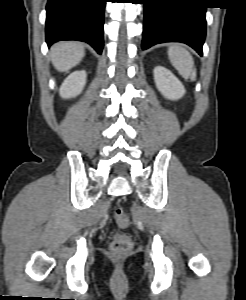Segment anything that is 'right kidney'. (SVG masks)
<instances>
[{
	"mask_svg": "<svg viewBox=\"0 0 246 300\" xmlns=\"http://www.w3.org/2000/svg\"><path fill=\"white\" fill-rule=\"evenodd\" d=\"M86 84V72L75 71L71 73L62 83L59 94L62 98L68 99L79 95Z\"/></svg>",
	"mask_w": 246,
	"mask_h": 300,
	"instance_id": "obj_1",
	"label": "right kidney"
}]
</instances>
